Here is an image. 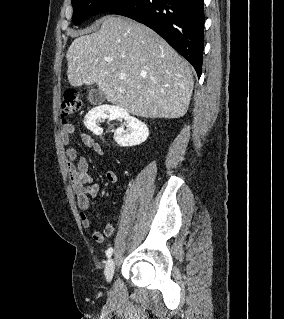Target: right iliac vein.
Listing matches in <instances>:
<instances>
[{
	"label": "right iliac vein",
	"mask_w": 284,
	"mask_h": 319,
	"mask_svg": "<svg viewBox=\"0 0 284 319\" xmlns=\"http://www.w3.org/2000/svg\"><path fill=\"white\" fill-rule=\"evenodd\" d=\"M115 269V261L113 258H109L105 266V278L107 282H111Z\"/></svg>",
	"instance_id": "1"
}]
</instances>
